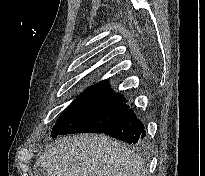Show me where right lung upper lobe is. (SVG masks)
I'll return each instance as SVG.
<instances>
[{"instance_id": "1", "label": "right lung upper lobe", "mask_w": 205, "mask_h": 176, "mask_svg": "<svg viewBox=\"0 0 205 176\" xmlns=\"http://www.w3.org/2000/svg\"><path fill=\"white\" fill-rule=\"evenodd\" d=\"M82 94H97L119 99H125L122 94L114 93L106 81H101L88 87Z\"/></svg>"}]
</instances>
